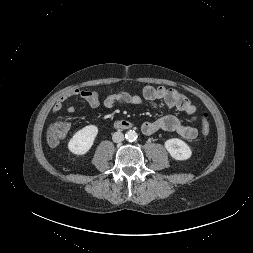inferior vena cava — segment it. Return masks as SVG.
<instances>
[{"label":"inferior vena cava","instance_id":"1","mask_svg":"<svg viewBox=\"0 0 253 253\" xmlns=\"http://www.w3.org/2000/svg\"><path fill=\"white\" fill-rule=\"evenodd\" d=\"M113 142L120 143L124 140V134L122 132H115L112 136Z\"/></svg>","mask_w":253,"mask_h":253}]
</instances>
